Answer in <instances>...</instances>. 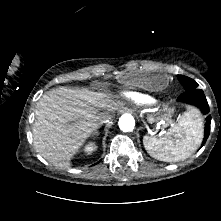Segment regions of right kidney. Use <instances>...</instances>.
<instances>
[{
	"label": "right kidney",
	"mask_w": 221,
	"mask_h": 221,
	"mask_svg": "<svg viewBox=\"0 0 221 221\" xmlns=\"http://www.w3.org/2000/svg\"><path fill=\"white\" fill-rule=\"evenodd\" d=\"M96 145L94 143H89L85 146L84 148V151L87 153V154H91L93 151L96 150Z\"/></svg>",
	"instance_id": "1"
}]
</instances>
